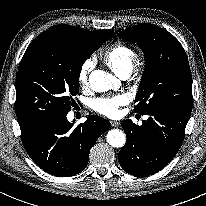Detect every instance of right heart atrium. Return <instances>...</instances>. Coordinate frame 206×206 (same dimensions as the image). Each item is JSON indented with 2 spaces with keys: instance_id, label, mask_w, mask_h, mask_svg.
<instances>
[{
  "instance_id": "d8ad5b80",
  "label": "right heart atrium",
  "mask_w": 206,
  "mask_h": 206,
  "mask_svg": "<svg viewBox=\"0 0 206 206\" xmlns=\"http://www.w3.org/2000/svg\"><path fill=\"white\" fill-rule=\"evenodd\" d=\"M95 67V62L92 58H87L81 64L78 74L77 81L81 87H86L89 84V76Z\"/></svg>"
}]
</instances>
